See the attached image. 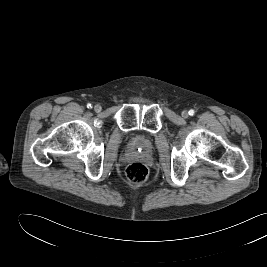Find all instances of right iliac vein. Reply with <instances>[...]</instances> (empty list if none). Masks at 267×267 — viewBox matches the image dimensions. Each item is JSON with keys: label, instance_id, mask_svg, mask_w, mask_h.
I'll use <instances>...</instances> for the list:
<instances>
[{"label": "right iliac vein", "instance_id": "1", "mask_svg": "<svg viewBox=\"0 0 267 267\" xmlns=\"http://www.w3.org/2000/svg\"><path fill=\"white\" fill-rule=\"evenodd\" d=\"M101 109H102V107H101L100 104H96V105L94 106V110H95V112H100Z\"/></svg>", "mask_w": 267, "mask_h": 267}]
</instances>
